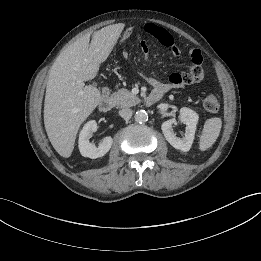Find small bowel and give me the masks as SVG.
I'll return each mask as SVG.
<instances>
[{"instance_id":"obj_1","label":"small bowel","mask_w":261,"mask_h":261,"mask_svg":"<svg viewBox=\"0 0 261 261\" xmlns=\"http://www.w3.org/2000/svg\"><path fill=\"white\" fill-rule=\"evenodd\" d=\"M144 31L158 40L161 44L168 47L173 55H180V50L176 45L173 36L168 31L152 23L146 24L144 26ZM140 45L144 55L147 57L149 53L148 43L142 40ZM190 56L191 65L188 72L171 74L167 83H163L154 77H150L148 81L153 86V91H158L163 95L172 89L184 88L189 83L201 81L203 78L201 54L197 49H193L190 52Z\"/></svg>"}]
</instances>
